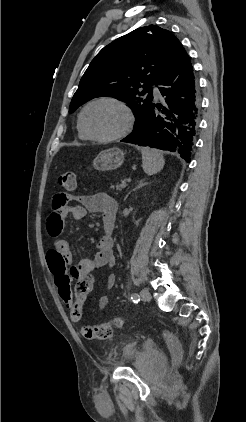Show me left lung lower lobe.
Here are the masks:
<instances>
[{"label":"left lung lower lobe","instance_id":"obj_1","mask_svg":"<svg viewBox=\"0 0 246 422\" xmlns=\"http://www.w3.org/2000/svg\"><path fill=\"white\" fill-rule=\"evenodd\" d=\"M158 85L163 104L152 100L132 133L121 142L177 152L190 162L200 97L190 57L184 48Z\"/></svg>","mask_w":246,"mask_h":422}]
</instances>
